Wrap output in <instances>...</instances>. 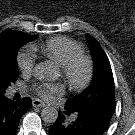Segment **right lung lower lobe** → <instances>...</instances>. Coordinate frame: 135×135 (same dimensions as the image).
I'll return each mask as SVG.
<instances>
[{
  "label": "right lung lower lobe",
  "instance_id": "right-lung-lower-lobe-1",
  "mask_svg": "<svg viewBox=\"0 0 135 135\" xmlns=\"http://www.w3.org/2000/svg\"><path fill=\"white\" fill-rule=\"evenodd\" d=\"M32 107L30 98L12 101L0 95V135H15L20 117Z\"/></svg>",
  "mask_w": 135,
  "mask_h": 135
}]
</instances>
